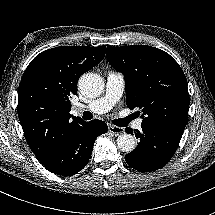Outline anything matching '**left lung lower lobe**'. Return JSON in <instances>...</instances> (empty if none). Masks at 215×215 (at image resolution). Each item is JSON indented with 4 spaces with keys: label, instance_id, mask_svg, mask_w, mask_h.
<instances>
[{
    "label": "left lung lower lobe",
    "instance_id": "left-lung-lower-lobe-1",
    "mask_svg": "<svg viewBox=\"0 0 215 215\" xmlns=\"http://www.w3.org/2000/svg\"><path fill=\"white\" fill-rule=\"evenodd\" d=\"M185 127L171 125H142V131L136 130L140 139L138 146L125 155L129 166L140 172H151L164 167L173 157ZM127 133L133 134L131 128Z\"/></svg>",
    "mask_w": 215,
    "mask_h": 215
}]
</instances>
